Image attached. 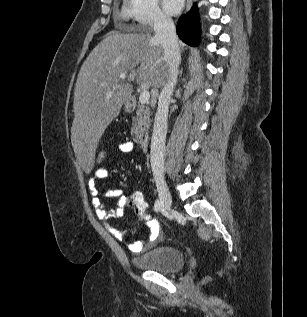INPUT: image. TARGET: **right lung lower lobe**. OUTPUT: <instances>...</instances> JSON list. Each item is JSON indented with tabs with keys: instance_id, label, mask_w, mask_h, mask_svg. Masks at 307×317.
<instances>
[{
	"instance_id": "98d812e1",
	"label": "right lung lower lobe",
	"mask_w": 307,
	"mask_h": 317,
	"mask_svg": "<svg viewBox=\"0 0 307 317\" xmlns=\"http://www.w3.org/2000/svg\"><path fill=\"white\" fill-rule=\"evenodd\" d=\"M177 34L186 44L197 46L200 42V24L197 6L186 14L182 15L176 26Z\"/></svg>"
}]
</instances>
